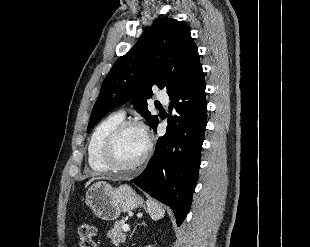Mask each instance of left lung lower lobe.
<instances>
[{
    "mask_svg": "<svg viewBox=\"0 0 310 247\" xmlns=\"http://www.w3.org/2000/svg\"><path fill=\"white\" fill-rule=\"evenodd\" d=\"M166 134L158 139L153 157L132 183L174 211L177 225L187 216L196 186L201 147L207 124L202 67L169 94ZM158 122L152 127L155 131Z\"/></svg>",
    "mask_w": 310,
    "mask_h": 247,
    "instance_id": "0a47b994",
    "label": "left lung lower lobe"
}]
</instances>
